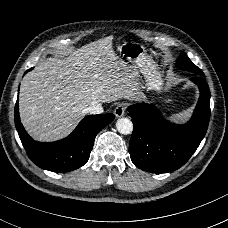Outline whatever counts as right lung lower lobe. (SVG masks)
Masks as SVG:
<instances>
[{"mask_svg":"<svg viewBox=\"0 0 228 228\" xmlns=\"http://www.w3.org/2000/svg\"><path fill=\"white\" fill-rule=\"evenodd\" d=\"M15 125L29 158L40 168L53 172H69L83 166L90 157L96 135L115 118L113 114L85 117L66 138L56 142H37L21 124L18 99Z\"/></svg>","mask_w":228,"mask_h":228,"instance_id":"98d812e1","label":"right lung lower lobe"}]
</instances>
